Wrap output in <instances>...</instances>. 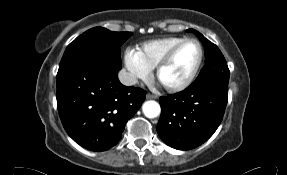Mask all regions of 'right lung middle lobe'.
Segmentation results:
<instances>
[{
    "instance_id": "1",
    "label": "right lung middle lobe",
    "mask_w": 287,
    "mask_h": 175,
    "mask_svg": "<svg viewBox=\"0 0 287 175\" xmlns=\"http://www.w3.org/2000/svg\"><path fill=\"white\" fill-rule=\"evenodd\" d=\"M131 35V32H112L102 27H94L67 46L59 70L87 62L121 69L120 46Z\"/></svg>"
}]
</instances>
